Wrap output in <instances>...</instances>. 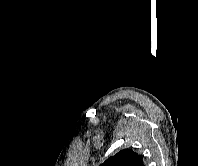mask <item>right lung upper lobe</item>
<instances>
[{
  "label": "right lung upper lobe",
  "instance_id": "cb5924a9",
  "mask_svg": "<svg viewBox=\"0 0 198 166\" xmlns=\"http://www.w3.org/2000/svg\"><path fill=\"white\" fill-rule=\"evenodd\" d=\"M101 166H144L140 156L130 149H123Z\"/></svg>",
  "mask_w": 198,
  "mask_h": 166
}]
</instances>
